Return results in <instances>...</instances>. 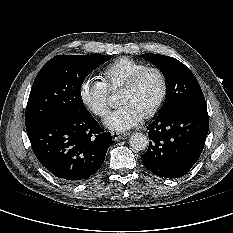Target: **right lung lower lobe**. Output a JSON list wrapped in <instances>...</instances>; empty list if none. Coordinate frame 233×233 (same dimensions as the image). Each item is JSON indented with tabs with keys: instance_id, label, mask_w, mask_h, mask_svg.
Listing matches in <instances>:
<instances>
[{
	"instance_id": "1",
	"label": "right lung lower lobe",
	"mask_w": 233,
	"mask_h": 233,
	"mask_svg": "<svg viewBox=\"0 0 233 233\" xmlns=\"http://www.w3.org/2000/svg\"><path fill=\"white\" fill-rule=\"evenodd\" d=\"M35 156L54 176L77 183L97 172L112 137L104 132L89 111L27 128Z\"/></svg>"
}]
</instances>
